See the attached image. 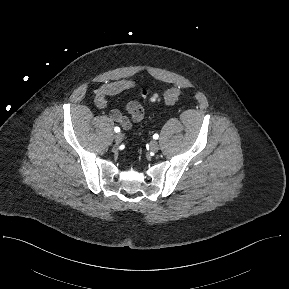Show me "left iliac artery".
I'll use <instances>...</instances> for the list:
<instances>
[{"instance_id": "44dca946", "label": "left iliac artery", "mask_w": 289, "mask_h": 289, "mask_svg": "<svg viewBox=\"0 0 289 289\" xmlns=\"http://www.w3.org/2000/svg\"><path fill=\"white\" fill-rule=\"evenodd\" d=\"M153 138L156 140V139L159 138V135H158V134H154V135H153Z\"/></svg>"}]
</instances>
